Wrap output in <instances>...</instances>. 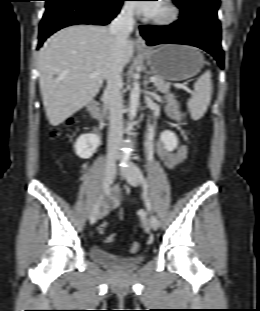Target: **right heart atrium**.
<instances>
[{"instance_id":"right-heart-atrium-1","label":"right heart atrium","mask_w":260,"mask_h":311,"mask_svg":"<svg viewBox=\"0 0 260 311\" xmlns=\"http://www.w3.org/2000/svg\"><path fill=\"white\" fill-rule=\"evenodd\" d=\"M122 12L129 16V17H132L134 15V10L131 6L129 5H125L123 8H122Z\"/></svg>"}]
</instances>
